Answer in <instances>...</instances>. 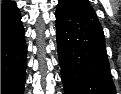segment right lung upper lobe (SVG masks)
Segmentation results:
<instances>
[{
	"instance_id": "cb5924a9",
	"label": "right lung upper lobe",
	"mask_w": 121,
	"mask_h": 94,
	"mask_svg": "<svg viewBox=\"0 0 121 94\" xmlns=\"http://www.w3.org/2000/svg\"><path fill=\"white\" fill-rule=\"evenodd\" d=\"M8 2H10V1H4V2L1 4V6L7 4Z\"/></svg>"
}]
</instances>
